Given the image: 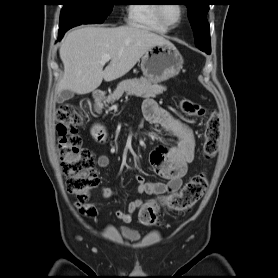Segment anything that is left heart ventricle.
<instances>
[{"instance_id":"1","label":"left heart ventricle","mask_w":278,"mask_h":278,"mask_svg":"<svg viewBox=\"0 0 278 278\" xmlns=\"http://www.w3.org/2000/svg\"><path fill=\"white\" fill-rule=\"evenodd\" d=\"M163 11L166 20L170 23H176L181 15V9L176 4L165 5Z\"/></svg>"}]
</instances>
